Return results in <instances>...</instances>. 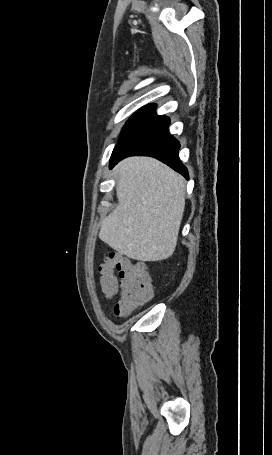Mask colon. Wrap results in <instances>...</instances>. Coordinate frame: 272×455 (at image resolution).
Instances as JSON below:
<instances>
[{
  "label": "colon",
  "instance_id": "colon-1",
  "mask_svg": "<svg viewBox=\"0 0 272 455\" xmlns=\"http://www.w3.org/2000/svg\"><path fill=\"white\" fill-rule=\"evenodd\" d=\"M114 271H117L118 277ZM101 289L112 297L120 290V300L114 307L116 316H126L153 297V289L145 267L118 253L109 255L100 265Z\"/></svg>",
  "mask_w": 272,
  "mask_h": 455
}]
</instances>
